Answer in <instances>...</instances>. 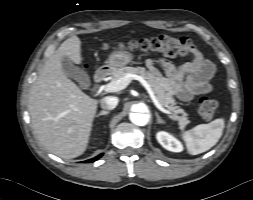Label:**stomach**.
I'll list each match as a JSON object with an SVG mask.
<instances>
[{
    "mask_svg": "<svg viewBox=\"0 0 253 200\" xmlns=\"http://www.w3.org/2000/svg\"><path fill=\"white\" fill-rule=\"evenodd\" d=\"M133 60V55L128 51H115L111 53L103 67L108 68V71L113 72L119 68L126 66Z\"/></svg>",
    "mask_w": 253,
    "mask_h": 200,
    "instance_id": "stomach-1",
    "label": "stomach"
}]
</instances>
